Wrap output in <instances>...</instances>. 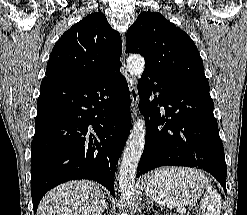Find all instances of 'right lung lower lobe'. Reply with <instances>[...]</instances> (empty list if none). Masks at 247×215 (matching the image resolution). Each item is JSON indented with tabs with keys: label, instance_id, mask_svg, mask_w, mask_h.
Instances as JSON below:
<instances>
[{
	"label": "right lung lower lobe",
	"instance_id": "obj_1",
	"mask_svg": "<svg viewBox=\"0 0 247 215\" xmlns=\"http://www.w3.org/2000/svg\"><path fill=\"white\" fill-rule=\"evenodd\" d=\"M130 118V93L120 66L84 84L44 78L31 144L34 213L48 190L70 180L97 181L114 196Z\"/></svg>",
	"mask_w": 247,
	"mask_h": 215
}]
</instances>
